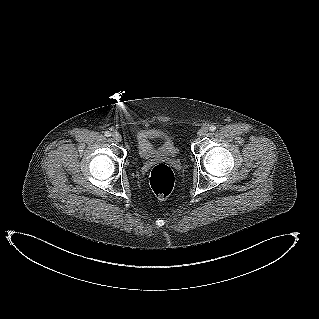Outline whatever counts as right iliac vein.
I'll return each instance as SVG.
<instances>
[{
	"label": "right iliac vein",
	"instance_id": "1",
	"mask_svg": "<svg viewBox=\"0 0 319 319\" xmlns=\"http://www.w3.org/2000/svg\"><path fill=\"white\" fill-rule=\"evenodd\" d=\"M112 138H113V140L116 141V142H120V141L122 140L121 135H120L119 133H117V132H115V133L112 134Z\"/></svg>",
	"mask_w": 319,
	"mask_h": 319
}]
</instances>
